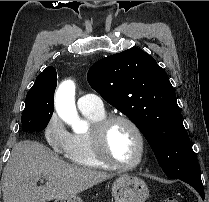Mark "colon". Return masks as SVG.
Masks as SVG:
<instances>
[{"label":"colon","mask_w":209,"mask_h":202,"mask_svg":"<svg viewBox=\"0 0 209 202\" xmlns=\"http://www.w3.org/2000/svg\"><path fill=\"white\" fill-rule=\"evenodd\" d=\"M161 202H178V200L174 197H166Z\"/></svg>","instance_id":"obj_1"}]
</instances>
